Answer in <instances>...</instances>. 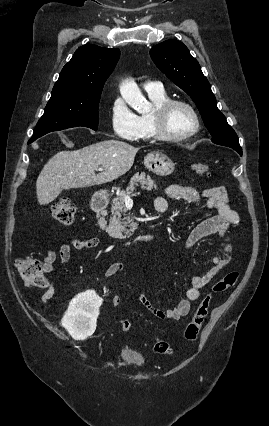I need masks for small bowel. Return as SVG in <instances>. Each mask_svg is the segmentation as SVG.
Masks as SVG:
<instances>
[{"label":"small bowel","instance_id":"1","mask_svg":"<svg viewBox=\"0 0 269 426\" xmlns=\"http://www.w3.org/2000/svg\"><path fill=\"white\" fill-rule=\"evenodd\" d=\"M165 195L176 200H183L195 204L200 209H213L217 214L206 218L198 224L189 235L186 248H193L202 239L219 234L225 238L231 226L237 225L240 221L238 214L234 211L228 201L227 193L224 187H210L205 189H196L181 185H168L164 189ZM155 209L166 210L167 203L163 197H157L154 201ZM100 243L98 237L86 239H69L63 243L57 251L48 250L42 258L43 272L48 274L54 269V262L58 259L60 263L69 262L72 250H85L96 248ZM233 260V253L230 245H226L220 256L213 260V266L210 270L199 276H193L191 286L186 291L185 298L181 299L174 308L161 310L156 308L147 295L141 294L138 298L139 303L152 315L161 320H180L186 316L191 308V303L200 298L201 290L206 287L213 277ZM124 265L120 262L110 264L105 272L104 278L108 279L115 275L122 274ZM45 291L41 295V300L47 304L53 297L56 289V282L53 279H46L43 286ZM121 298L115 296L112 299V305L118 307L121 305Z\"/></svg>","mask_w":269,"mask_h":426}]
</instances>
